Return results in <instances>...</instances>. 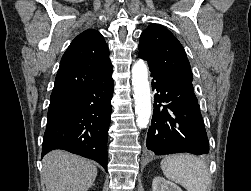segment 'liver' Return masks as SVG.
<instances>
[{
	"label": "liver",
	"mask_w": 251,
	"mask_h": 191,
	"mask_svg": "<svg viewBox=\"0 0 251 191\" xmlns=\"http://www.w3.org/2000/svg\"><path fill=\"white\" fill-rule=\"evenodd\" d=\"M42 161L47 191H87L97 175V167L89 159L62 149L49 151Z\"/></svg>",
	"instance_id": "1"
}]
</instances>
